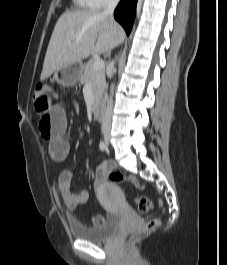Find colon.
<instances>
[{
  "label": "colon",
  "mask_w": 227,
  "mask_h": 265,
  "mask_svg": "<svg viewBox=\"0 0 227 265\" xmlns=\"http://www.w3.org/2000/svg\"><path fill=\"white\" fill-rule=\"evenodd\" d=\"M35 106L36 110L39 113L40 120L41 116H43V112L45 110L50 111V98H51V89L48 85L43 83L36 84L35 87ZM109 180L113 182H128L134 185L136 188L143 189L144 185L135 177L130 175H124L118 171H110L108 174ZM135 203L140 212L146 213L152 208L151 201L146 197H140L135 200ZM160 225V221L158 219H152L148 221L142 228V232L149 233L157 229ZM135 235H129L127 237V241L131 242L135 239Z\"/></svg>",
  "instance_id": "5ec220e1"
}]
</instances>
